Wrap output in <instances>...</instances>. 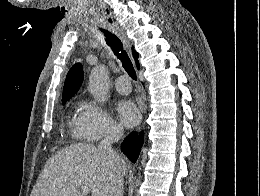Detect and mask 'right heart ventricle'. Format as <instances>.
Here are the masks:
<instances>
[{
	"instance_id": "obj_1",
	"label": "right heart ventricle",
	"mask_w": 260,
	"mask_h": 196,
	"mask_svg": "<svg viewBox=\"0 0 260 196\" xmlns=\"http://www.w3.org/2000/svg\"><path fill=\"white\" fill-rule=\"evenodd\" d=\"M50 192H76V190H50Z\"/></svg>"
}]
</instances>
